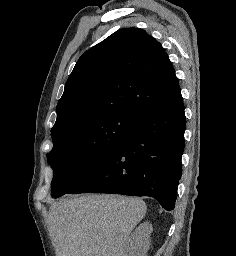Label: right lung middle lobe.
I'll list each match as a JSON object with an SVG mask.
<instances>
[{
    "instance_id": "dd1d6c3e",
    "label": "right lung middle lobe",
    "mask_w": 236,
    "mask_h": 256,
    "mask_svg": "<svg viewBox=\"0 0 236 256\" xmlns=\"http://www.w3.org/2000/svg\"><path fill=\"white\" fill-rule=\"evenodd\" d=\"M138 121L129 114L114 113L72 124L52 134L54 146L48 155L54 171L52 196L60 197L73 188Z\"/></svg>"
}]
</instances>
